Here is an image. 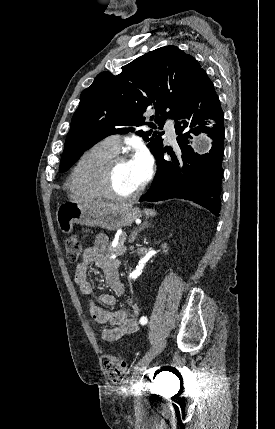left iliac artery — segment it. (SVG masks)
<instances>
[{
	"label": "left iliac artery",
	"instance_id": "44dca946",
	"mask_svg": "<svg viewBox=\"0 0 275 429\" xmlns=\"http://www.w3.org/2000/svg\"><path fill=\"white\" fill-rule=\"evenodd\" d=\"M147 322H148L147 317L143 316V317H141V318H140V324H141V325H146V324H147Z\"/></svg>",
	"mask_w": 275,
	"mask_h": 429
}]
</instances>
